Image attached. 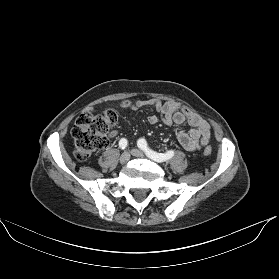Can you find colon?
Segmentation results:
<instances>
[{
    "label": "colon",
    "instance_id": "colon-1",
    "mask_svg": "<svg viewBox=\"0 0 279 279\" xmlns=\"http://www.w3.org/2000/svg\"><path fill=\"white\" fill-rule=\"evenodd\" d=\"M117 115L113 110L93 114L83 112L72 128L74 155L79 161H86L98 149L108 144V133L116 124ZM211 147L204 149V155L211 154Z\"/></svg>",
    "mask_w": 279,
    "mask_h": 279
}]
</instances>
